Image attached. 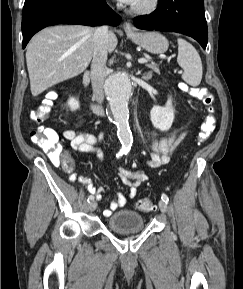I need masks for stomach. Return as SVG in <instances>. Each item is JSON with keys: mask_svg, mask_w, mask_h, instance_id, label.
Segmentation results:
<instances>
[{"mask_svg": "<svg viewBox=\"0 0 243 289\" xmlns=\"http://www.w3.org/2000/svg\"><path fill=\"white\" fill-rule=\"evenodd\" d=\"M135 44L139 45L146 51L153 54L164 53L169 46V42L165 36L159 32H136L127 34Z\"/></svg>", "mask_w": 243, "mask_h": 289, "instance_id": "1", "label": "stomach"}]
</instances>
